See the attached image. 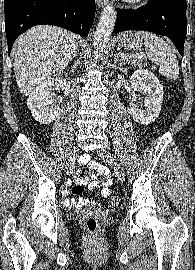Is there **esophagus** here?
Wrapping results in <instances>:
<instances>
[{"instance_id":"1","label":"esophagus","mask_w":195,"mask_h":270,"mask_svg":"<svg viewBox=\"0 0 195 270\" xmlns=\"http://www.w3.org/2000/svg\"><path fill=\"white\" fill-rule=\"evenodd\" d=\"M96 2H97V5L100 8H102V7H104L107 4L108 0H96Z\"/></svg>"}]
</instances>
